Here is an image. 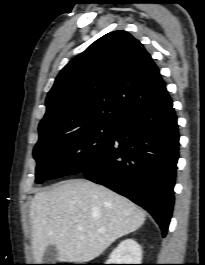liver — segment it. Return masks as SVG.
I'll return each mask as SVG.
<instances>
[{
    "label": "liver",
    "mask_w": 205,
    "mask_h": 265,
    "mask_svg": "<svg viewBox=\"0 0 205 265\" xmlns=\"http://www.w3.org/2000/svg\"><path fill=\"white\" fill-rule=\"evenodd\" d=\"M30 217L35 262H42L49 245L56 247L60 262H89L145 221V213L133 202L83 179L37 192Z\"/></svg>",
    "instance_id": "obj_1"
}]
</instances>
